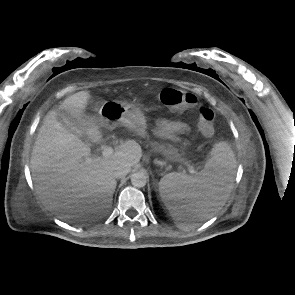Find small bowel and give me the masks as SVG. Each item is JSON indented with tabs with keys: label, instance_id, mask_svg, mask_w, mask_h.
Wrapping results in <instances>:
<instances>
[{
	"label": "small bowel",
	"instance_id": "small-bowel-1",
	"mask_svg": "<svg viewBox=\"0 0 295 295\" xmlns=\"http://www.w3.org/2000/svg\"><path fill=\"white\" fill-rule=\"evenodd\" d=\"M159 127L161 132L166 136H174L187 130L186 124L180 121L163 120L160 121Z\"/></svg>",
	"mask_w": 295,
	"mask_h": 295
}]
</instances>
